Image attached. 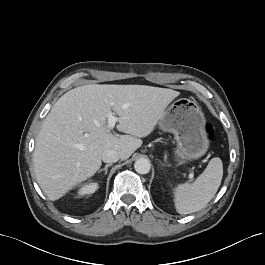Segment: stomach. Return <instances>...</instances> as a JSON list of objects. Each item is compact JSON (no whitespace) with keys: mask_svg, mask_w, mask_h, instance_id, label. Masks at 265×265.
I'll list each match as a JSON object with an SVG mask.
<instances>
[{"mask_svg":"<svg viewBox=\"0 0 265 265\" xmlns=\"http://www.w3.org/2000/svg\"><path fill=\"white\" fill-rule=\"evenodd\" d=\"M158 123L163 131L173 133L177 142L175 155L179 162L198 159L207 152L209 140L205 117L195 101L187 98L175 100Z\"/></svg>","mask_w":265,"mask_h":265,"instance_id":"1","label":"stomach"}]
</instances>
